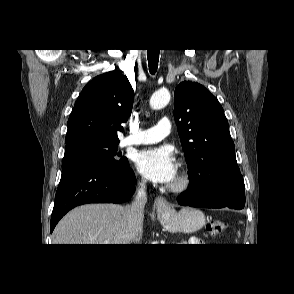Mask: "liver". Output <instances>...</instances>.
I'll list each match as a JSON object with an SVG mask.
<instances>
[{"instance_id":"liver-1","label":"liver","mask_w":294,"mask_h":294,"mask_svg":"<svg viewBox=\"0 0 294 294\" xmlns=\"http://www.w3.org/2000/svg\"><path fill=\"white\" fill-rule=\"evenodd\" d=\"M110 244L132 242L127 207L116 204H87L66 214L52 235L53 244Z\"/></svg>"}]
</instances>
